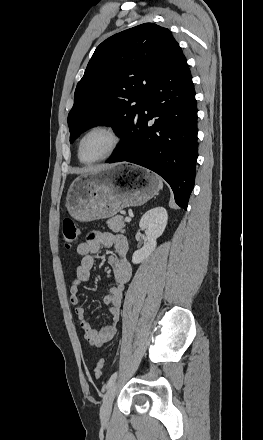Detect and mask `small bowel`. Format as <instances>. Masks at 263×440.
<instances>
[{
    "mask_svg": "<svg viewBox=\"0 0 263 440\" xmlns=\"http://www.w3.org/2000/svg\"><path fill=\"white\" fill-rule=\"evenodd\" d=\"M110 247L115 250V254L108 258L113 273V284L103 300L109 307L112 320L109 325L97 330L88 320L86 309L78 305L80 302L79 290L81 284L90 279L91 271L95 266L94 255L102 248ZM128 249V242L123 235L101 231L90 232L86 239L77 246V253L81 256V261L76 268L70 286V302L76 305L75 312L84 331L85 339L94 347L102 346L116 335L117 324L121 316L123 292L132 274L131 264L128 260Z\"/></svg>",
    "mask_w": 263,
    "mask_h": 440,
    "instance_id": "1",
    "label": "small bowel"
}]
</instances>
